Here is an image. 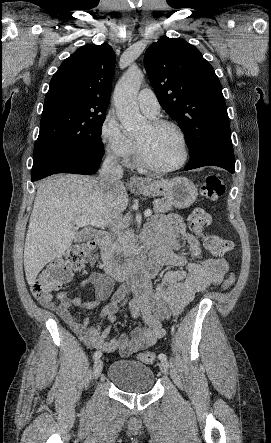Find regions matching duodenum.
Segmentation results:
<instances>
[{
	"instance_id": "obj_1",
	"label": "duodenum",
	"mask_w": 271,
	"mask_h": 443,
	"mask_svg": "<svg viewBox=\"0 0 271 443\" xmlns=\"http://www.w3.org/2000/svg\"><path fill=\"white\" fill-rule=\"evenodd\" d=\"M95 240L102 250V265L104 271L116 278L139 277L144 273V260L141 257L118 262L114 259L111 248V236L107 232L97 233Z\"/></svg>"
}]
</instances>
